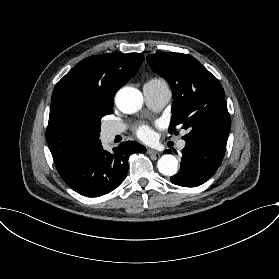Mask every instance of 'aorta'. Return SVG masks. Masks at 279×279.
Listing matches in <instances>:
<instances>
[{"instance_id": "aorta-1", "label": "aorta", "mask_w": 279, "mask_h": 279, "mask_svg": "<svg viewBox=\"0 0 279 279\" xmlns=\"http://www.w3.org/2000/svg\"><path fill=\"white\" fill-rule=\"evenodd\" d=\"M143 105L142 93L132 87H124L116 94V106L120 111L132 114ZM159 172L165 176H174L178 171V160L172 154H164L157 162Z\"/></svg>"}]
</instances>
